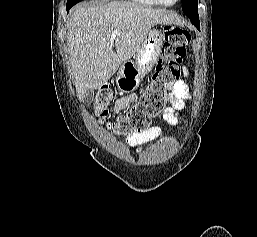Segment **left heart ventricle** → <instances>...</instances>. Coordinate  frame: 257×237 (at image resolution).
Segmentation results:
<instances>
[{"label": "left heart ventricle", "mask_w": 257, "mask_h": 237, "mask_svg": "<svg viewBox=\"0 0 257 237\" xmlns=\"http://www.w3.org/2000/svg\"><path fill=\"white\" fill-rule=\"evenodd\" d=\"M165 1L166 3H173L175 0H163Z\"/></svg>", "instance_id": "1"}]
</instances>
